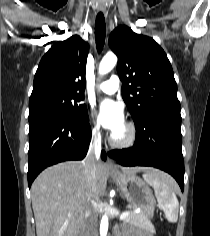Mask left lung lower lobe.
Instances as JSON below:
<instances>
[{"instance_id": "obj_1", "label": "left lung lower lobe", "mask_w": 210, "mask_h": 236, "mask_svg": "<svg viewBox=\"0 0 210 236\" xmlns=\"http://www.w3.org/2000/svg\"><path fill=\"white\" fill-rule=\"evenodd\" d=\"M136 140L128 149L113 150L108 155L123 166H152L171 174L184 189L181 115L156 111L135 122Z\"/></svg>"}]
</instances>
